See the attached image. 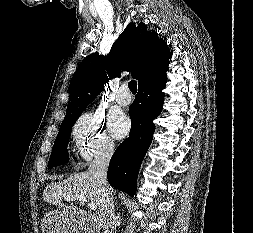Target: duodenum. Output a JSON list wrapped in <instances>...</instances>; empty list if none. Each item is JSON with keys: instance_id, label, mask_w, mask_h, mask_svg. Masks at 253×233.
Segmentation results:
<instances>
[{"instance_id": "duodenum-1", "label": "duodenum", "mask_w": 253, "mask_h": 233, "mask_svg": "<svg viewBox=\"0 0 253 233\" xmlns=\"http://www.w3.org/2000/svg\"><path fill=\"white\" fill-rule=\"evenodd\" d=\"M89 226H91V227H94V226L103 227L104 226V221H103V219L101 218L100 215H95V216L90 218Z\"/></svg>"}]
</instances>
